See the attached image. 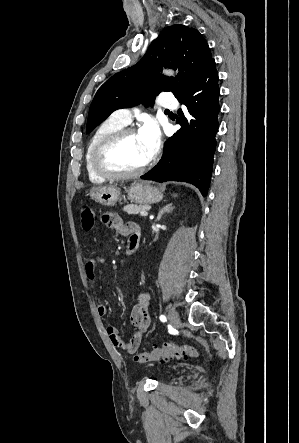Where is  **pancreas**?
<instances>
[{
  "instance_id": "cf45deb5",
  "label": "pancreas",
  "mask_w": 299,
  "mask_h": 443,
  "mask_svg": "<svg viewBox=\"0 0 299 443\" xmlns=\"http://www.w3.org/2000/svg\"><path fill=\"white\" fill-rule=\"evenodd\" d=\"M149 209L148 205H137V204H128L124 206L123 211L128 214H138L141 211H146Z\"/></svg>"
}]
</instances>
